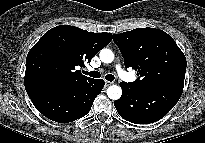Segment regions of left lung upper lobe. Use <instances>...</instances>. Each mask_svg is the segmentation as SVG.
<instances>
[{
  "label": "left lung upper lobe",
  "instance_id": "1",
  "mask_svg": "<svg viewBox=\"0 0 205 143\" xmlns=\"http://www.w3.org/2000/svg\"><path fill=\"white\" fill-rule=\"evenodd\" d=\"M124 58L125 67H132L139 76L128 86L140 89L157 85H184L186 58L173 38L155 28H137L113 35Z\"/></svg>",
  "mask_w": 205,
  "mask_h": 143
}]
</instances>
